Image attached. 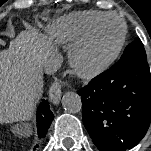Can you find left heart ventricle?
<instances>
[{
  "label": "left heart ventricle",
  "mask_w": 151,
  "mask_h": 151,
  "mask_svg": "<svg viewBox=\"0 0 151 151\" xmlns=\"http://www.w3.org/2000/svg\"><path fill=\"white\" fill-rule=\"evenodd\" d=\"M122 31L121 23L115 18L105 20L98 28L87 51L90 62H100L114 50Z\"/></svg>",
  "instance_id": "b2bd125f"
}]
</instances>
